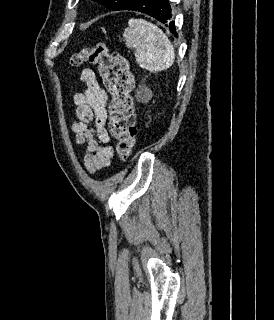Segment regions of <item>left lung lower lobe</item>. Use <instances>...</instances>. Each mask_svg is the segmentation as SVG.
<instances>
[{
    "label": "left lung lower lobe",
    "mask_w": 274,
    "mask_h": 320,
    "mask_svg": "<svg viewBox=\"0 0 274 320\" xmlns=\"http://www.w3.org/2000/svg\"><path fill=\"white\" fill-rule=\"evenodd\" d=\"M123 10H134L146 13L169 27L170 31L177 36L174 21H169L172 17L168 0H134Z\"/></svg>",
    "instance_id": "left-lung-lower-lobe-1"
}]
</instances>
